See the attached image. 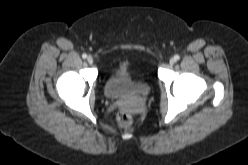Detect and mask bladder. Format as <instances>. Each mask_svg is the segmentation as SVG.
<instances>
[{"label": "bladder", "mask_w": 248, "mask_h": 165, "mask_svg": "<svg viewBox=\"0 0 248 165\" xmlns=\"http://www.w3.org/2000/svg\"><path fill=\"white\" fill-rule=\"evenodd\" d=\"M104 91L108 98L114 100L128 97L144 98L150 94L151 84L137 78L127 62H121L107 77Z\"/></svg>", "instance_id": "31cf9c89"}]
</instances>
